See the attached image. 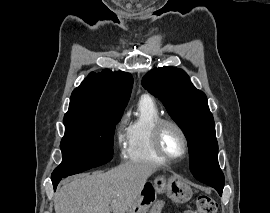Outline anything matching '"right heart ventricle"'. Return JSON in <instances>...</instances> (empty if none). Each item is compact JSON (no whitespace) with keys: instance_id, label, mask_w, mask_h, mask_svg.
I'll return each instance as SVG.
<instances>
[{"instance_id":"right-heart-ventricle-1","label":"right heart ventricle","mask_w":270,"mask_h":213,"mask_svg":"<svg viewBox=\"0 0 270 213\" xmlns=\"http://www.w3.org/2000/svg\"><path fill=\"white\" fill-rule=\"evenodd\" d=\"M162 114L154 101L144 96L140 98L135 114L125 131L124 158L134 163L166 162L154 150L152 131Z\"/></svg>"}]
</instances>
